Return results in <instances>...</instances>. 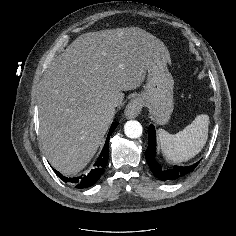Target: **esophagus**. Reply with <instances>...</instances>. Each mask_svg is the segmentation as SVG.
<instances>
[{"label": "esophagus", "instance_id": "obj_1", "mask_svg": "<svg viewBox=\"0 0 236 236\" xmlns=\"http://www.w3.org/2000/svg\"><path fill=\"white\" fill-rule=\"evenodd\" d=\"M143 101L140 97L132 99L125 109V116L129 119L137 117L142 110Z\"/></svg>", "mask_w": 236, "mask_h": 236}]
</instances>
